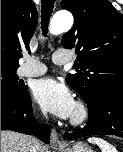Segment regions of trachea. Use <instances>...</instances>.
I'll list each match as a JSON object with an SVG mask.
<instances>
[{
	"label": "trachea",
	"instance_id": "obj_1",
	"mask_svg": "<svg viewBox=\"0 0 123 152\" xmlns=\"http://www.w3.org/2000/svg\"><path fill=\"white\" fill-rule=\"evenodd\" d=\"M55 0H42L41 29L43 35L48 32L49 19L53 12Z\"/></svg>",
	"mask_w": 123,
	"mask_h": 152
}]
</instances>
